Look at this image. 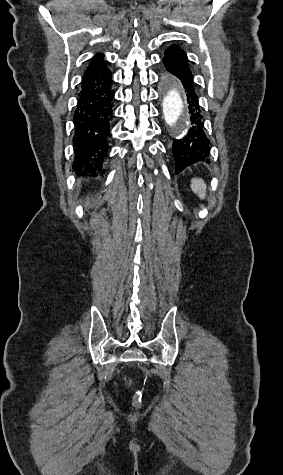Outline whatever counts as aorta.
I'll return each instance as SVG.
<instances>
[{"instance_id":"762f6f07","label":"aorta","mask_w":283,"mask_h":475,"mask_svg":"<svg viewBox=\"0 0 283 475\" xmlns=\"http://www.w3.org/2000/svg\"><path fill=\"white\" fill-rule=\"evenodd\" d=\"M162 86L164 91L162 106L165 122L177 135L183 136L189 128V114L182 87L178 80L168 76H163Z\"/></svg>"}]
</instances>
